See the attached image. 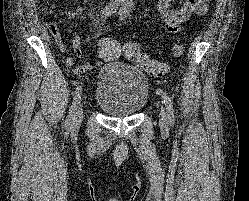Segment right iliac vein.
I'll list each match as a JSON object with an SVG mask.
<instances>
[{
    "label": "right iliac vein",
    "instance_id": "1",
    "mask_svg": "<svg viewBox=\"0 0 249 201\" xmlns=\"http://www.w3.org/2000/svg\"><path fill=\"white\" fill-rule=\"evenodd\" d=\"M82 119H83V108H82V104L79 103V106H78V109L76 111V115L73 121L74 129H77L80 127Z\"/></svg>",
    "mask_w": 249,
    "mask_h": 201
}]
</instances>
